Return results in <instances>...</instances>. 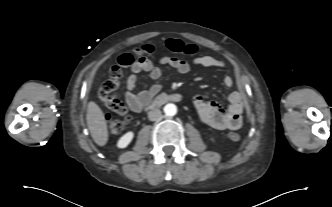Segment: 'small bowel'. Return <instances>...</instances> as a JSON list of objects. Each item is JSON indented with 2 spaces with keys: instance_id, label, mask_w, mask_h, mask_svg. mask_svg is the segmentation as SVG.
I'll return each instance as SVG.
<instances>
[{
  "instance_id": "small-bowel-1",
  "label": "small bowel",
  "mask_w": 332,
  "mask_h": 207,
  "mask_svg": "<svg viewBox=\"0 0 332 207\" xmlns=\"http://www.w3.org/2000/svg\"><path fill=\"white\" fill-rule=\"evenodd\" d=\"M160 63L169 68L176 70L180 74L190 72V64L176 57L163 56ZM193 63L204 68H224L226 62L216 59L209 55L199 56L193 60ZM146 73L152 80H157L161 76V69L151 60L139 58L131 66V74L126 81L125 99L127 106L124 105L125 114L128 110L138 113L161 91L159 84H152L147 89L135 93L138 84V74ZM223 83L227 87H231L234 80L231 76H226ZM230 105L225 110L215 102L205 101L201 97H196L195 106L201 123L217 130H236L242 126V113L244 103L242 95L239 92H233L229 96Z\"/></svg>"
}]
</instances>
